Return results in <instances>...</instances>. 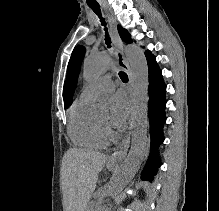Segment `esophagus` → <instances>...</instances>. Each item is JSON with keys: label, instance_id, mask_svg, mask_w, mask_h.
Here are the masks:
<instances>
[{"label": "esophagus", "instance_id": "34e87169", "mask_svg": "<svg viewBox=\"0 0 219 211\" xmlns=\"http://www.w3.org/2000/svg\"><path fill=\"white\" fill-rule=\"evenodd\" d=\"M103 8L107 14L109 25H110V30L112 34V41H113V49L115 53V58L117 60V64L120 68H122L128 75L129 77V86H130V65L128 61L126 60L124 56V45L123 42L118 34L117 30V22L115 18L108 12V9L105 5H103ZM131 134H132V125H129V130L127 137L125 138L124 142L122 143L121 146H119L113 154H111L108 157L109 163H113L115 165L120 164L124 158L127 155L130 141H131Z\"/></svg>", "mask_w": 219, "mask_h": 211}]
</instances>
